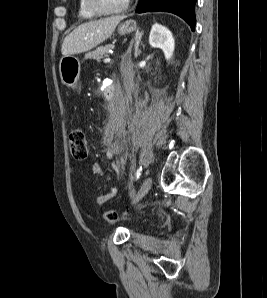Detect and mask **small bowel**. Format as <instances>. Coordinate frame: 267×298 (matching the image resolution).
<instances>
[{
  "label": "small bowel",
  "instance_id": "c3829d8e",
  "mask_svg": "<svg viewBox=\"0 0 267 298\" xmlns=\"http://www.w3.org/2000/svg\"><path fill=\"white\" fill-rule=\"evenodd\" d=\"M90 170L93 174H97L100 176H104L105 173L102 169V167L98 164V163H93L91 164ZM119 168H116V171H118ZM118 193V188L117 187H113L110 189V191L106 194H102L96 197L95 199V203L98 207L103 206L105 203H107L109 200H111L112 198H114Z\"/></svg>",
  "mask_w": 267,
  "mask_h": 298
}]
</instances>
